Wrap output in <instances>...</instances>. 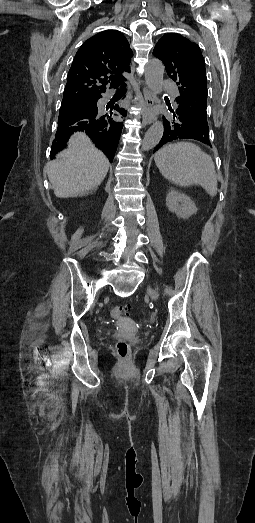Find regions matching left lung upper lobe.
Here are the masks:
<instances>
[{"instance_id": "left-lung-upper-lobe-1", "label": "left lung upper lobe", "mask_w": 255, "mask_h": 523, "mask_svg": "<svg viewBox=\"0 0 255 523\" xmlns=\"http://www.w3.org/2000/svg\"><path fill=\"white\" fill-rule=\"evenodd\" d=\"M153 54L162 60L168 76L177 81L176 83L179 85L180 97L176 99L177 103L174 105V109L170 105H168V109L172 111L175 109L184 110L181 115H195L193 121H199L202 125L208 126L206 112L207 77L205 61L199 46L179 34L170 33L164 35L158 41ZM165 128L164 126V134ZM184 138L182 137V139ZM199 141L202 142V140ZM158 148L156 146L154 152Z\"/></svg>"}]
</instances>
